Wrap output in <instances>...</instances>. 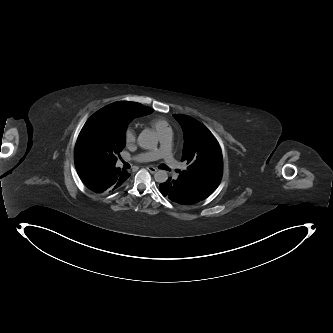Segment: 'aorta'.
<instances>
[{
    "mask_svg": "<svg viewBox=\"0 0 333 333\" xmlns=\"http://www.w3.org/2000/svg\"><path fill=\"white\" fill-rule=\"evenodd\" d=\"M138 144L143 149H154L158 144L156 134L151 130H144L138 137ZM155 181L163 183L168 179V173L165 170H159L154 175Z\"/></svg>",
    "mask_w": 333,
    "mask_h": 333,
    "instance_id": "obj_1",
    "label": "aorta"
}]
</instances>
